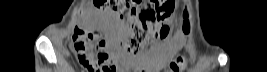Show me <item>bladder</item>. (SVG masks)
<instances>
[{"mask_svg": "<svg viewBox=\"0 0 267 72\" xmlns=\"http://www.w3.org/2000/svg\"><path fill=\"white\" fill-rule=\"evenodd\" d=\"M112 21H113L112 26H115V23L118 22L117 19H116L115 17L112 18Z\"/></svg>", "mask_w": 267, "mask_h": 72, "instance_id": "1", "label": "bladder"}]
</instances>
